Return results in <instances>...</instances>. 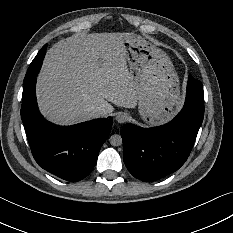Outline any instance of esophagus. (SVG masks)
<instances>
[{
	"mask_svg": "<svg viewBox=\"0 0 233 233\" xmlns=\"http://www.w3.org/2000/svg\"><path fill=\"white\" fill-rule=\"evenodd\" d=\"M128 117L129 116L127 113L122 112V113H119L115 119L118 123H124L128 120Z\"/></svg>",
	"mask_w": 233,
	"mask_h": 233,
	"instance_id": "esophagus-1",
	"label": "esophagus"
}]
</instances>
